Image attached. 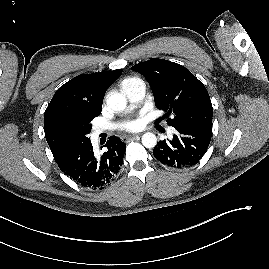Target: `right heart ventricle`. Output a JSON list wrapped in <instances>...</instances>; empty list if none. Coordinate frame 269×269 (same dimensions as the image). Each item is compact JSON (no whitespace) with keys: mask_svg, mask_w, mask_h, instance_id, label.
<instances>
[{"mask_svg":"<svg viewBox=\"0 0 269 269\" xmlns=\"http://www.w3.org/2000/svg\"><path fill=\"white\" fill-rule=\"evenodd\" d=\"M139 79L135 78V77H129V78H125L122 82H121V88L123 86H125L126 84L132 83L134 81H137Z\"/></svg>","mask_w":269,"mask_h":269,"instance_id":"obj_1","label":"right heart ventricle"}]
</instances>
